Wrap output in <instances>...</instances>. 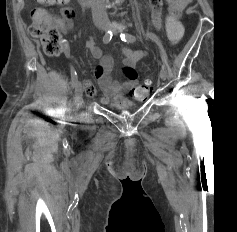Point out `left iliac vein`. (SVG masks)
Returning a JSON list of instances; mask_svg holds the SVG:
<instances>
[{
  "label": "left iliac vein",
  "mask_w": 237,
  "mask_h": 232,
  "mask_svg": "<svg viewBox=\"0 0 237 232\" xmlns=\"http://www.w3.org/2000/svg\"><path fill=\"white\" fill-rule=\"evenodd\" d=\"M160 78H161L162 80H166V78H167V72H166V70H165L164 68H162V69L160 70Z\"/></svg>",
  "instance_id": "obj_1"
}]
</instances>
